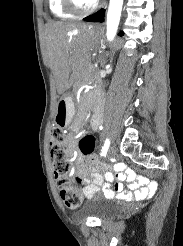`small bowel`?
Segmentation results:
<instances>
[{
	"instance_id": "c3829d8e",
	"label": "small bowel",
	"mask_w": 183,
	"mask_h": 246,
	"mask_svg": "<svg viewBox=\"0 0 183 246\" xmlns=\"http://www.w3.org/2000/svg\"><path fill=\"white\" fill-rule=\"evenodd\" d=\"M93 130L97 129L95 124L92 125ZM68 147L73 155L74 161L77 163V175L83 180L89 182L83 187V194L85 197H92L93 194L101 187V191L107 195V198H119L127 200H141L145 198H154L155 191H159L158 181H152L149 175H138L136 181L134 170L126 169L125 160H118V165H115L113 173L104 170L98 165L97 157H84L82 152L78 151L76 128H73ZM120 170H123L121 172ZM115 178L118 182H111ZM125 180L127 189H133L134 192H125L121 181ZM148 182L149 185H146ZM104 185V186H103Z\"/></svg>"
}]
</instances>
